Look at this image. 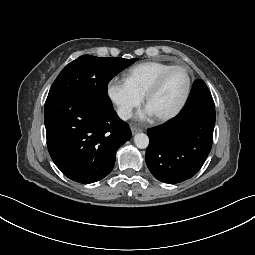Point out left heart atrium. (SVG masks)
Segmentation results:
<instances>
[{"label": "left heart atrium", "instance_id": "obj_1", "mask_svg": "<svg viewBox=\"0 0 255 255\" xmlns=\"http://www.w3.org/2000/svg\"><path fill=\"white\" fill-rule=\"evenodd\" d=\"M153 112L151 111V109L147 106L144 110H142L139 114H138V118L140 119H146L148 117L153 116Z\"/></svg>", "mask_w": 255, "mask_h": 255}]
</instances>
